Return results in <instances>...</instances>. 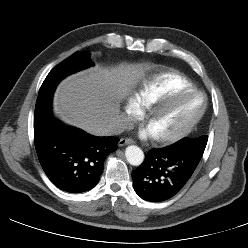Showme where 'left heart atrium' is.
<instances>
[{
	"label": "left heart atrium",
	"instance_id": "1",
	"mask_svg": "<svg viewBox=\"0 0 248 248\" xmlns=\"http://www.w3.org/2000/svg\"><path fill=\"white\" fill-rule=\"evenodd\" d=\"M142 135L144 137H154L155 135L153 134V132L147 128V129H144L143 132H142Z\"/></svg>",
	"mask_w": 248,
	"mask_h": 248
}]
</instances>
